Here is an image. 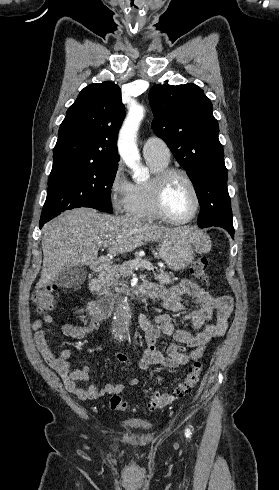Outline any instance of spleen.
<instances>
[{
    "mask_svg": "<svg viewBox=\"0 0 279 490\" xmlns=\"http://www.w3.org/2000/svg\"><path fill=\"white\" fill-rule=\"evenodd\" d=\"M202 250L201 252H205V254H208V252H210L211 250V244L209 242V238H207V236H203L202 234Z\"/></svg>",
    "mask_w": 279,
    "mask_h": 490,
    "instance_id": "1",
    "label": "spleen"
}]
</instances>
